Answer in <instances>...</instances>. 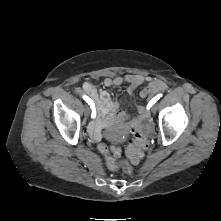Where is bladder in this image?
<instances>
[{
    "instance_id": "bladder-1",
    "label": "bladder",
    "mask_w": 221,
    "mask_h": 221,
    "mask_svg": "<svg viewBox=\"0 0 221 221\" xmlns=\"http://www.w3.org/2000/svg\"><path fill=\"white\" fill-rule=\"evenodd\" d=\"M109 138L110 140H112L113 142H118L121 139V135L119 133H116L114 131H111L109 133Z\"/></svg>"
}]
</instances>
